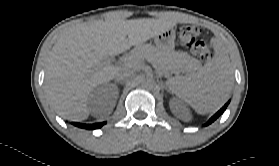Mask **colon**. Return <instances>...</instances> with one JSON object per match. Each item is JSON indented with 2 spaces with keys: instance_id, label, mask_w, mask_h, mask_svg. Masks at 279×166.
Returning <instances> with one entry per match:
<instances>
[{
  "instance_id": "colon-1",
  "label": "colon",
  "mask_w": 279,
  "mask_h": 166,
  "mask_svg": "<svg viewBox=\"0 0 279 166\" xmlns=\"http://www.w3.org/2000/svg\"><path fill=\"white\" fill-rule=\"evenodd\" d=\"M180 44L192 52L202 61H207L211 57V51L206 41L200 38L201 30L194 25L181 26L178 29Z\"/></svg>"
}]
</instances>
